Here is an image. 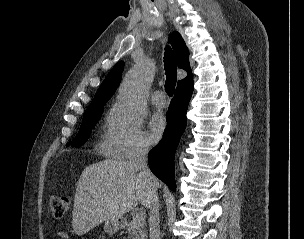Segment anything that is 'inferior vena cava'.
I'll list each match as a JSON object with an SVG mask.
<instances>
[{"label": "inferior vena cava", "instance_id": "inferior-vena-cava-1", "mask_svg": "<svg viewBox=\"0 0 304 239\" xmlns=\"http://www.w3.org/2000/svg\"><path fill=\"white\" fill-rule=\"evenodd\" d=\"M149 147L146 143L140 142L133 150L130 164L140 171L139 176L143 177L150 190L149 201V230L150 239H160L159 226V198L157 193V179L147 165V154Z\"/></svg>", "mask_w": 304, "mask_h": 239}]
</instances>
